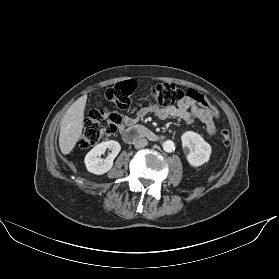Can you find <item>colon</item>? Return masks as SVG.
Returning a JSON list of instances; mask_svg holds the SVG:
<instances>
[{"label":"colon","instance_id":"1","mask_svg":"<svg viewBox=\"0 0 279 279\" xmlns=\"http://www.w3.org/2000/svg\"><path fill=\"white\" fill-rule=\"evenodd\" d=\"M137 85L133 80H124L107 88L104 98L110 102L115 109H127L131 105ZM143 96L153 105L159 107L172 106L185 97L183 90L172 83H160L148 89ZM187 96L192 98L202 107L207 109L214 117L218 113L203 93L189 89ZM122 123V117L116 110L94 109L84 120L83 132L79 145L83 149L91 148L113 135ZM221 141L228 147L231 143L230 133L227 127L221 129Z\"/></svg>","mask_w":279,"mask_h":279}]
</instances>
